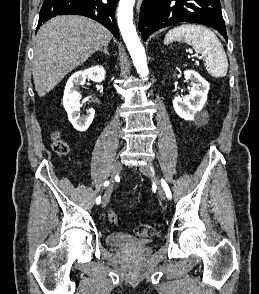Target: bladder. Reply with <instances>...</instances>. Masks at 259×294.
<instances>
[{
    "label": "bladder",
    "mask_w": 259,
    "mask_h": 294,
    "mask_svg": "<svg viewBox=\"0 0 259 294\" xmlns=\"http://www.w3.org/2000/svg\"><path fill=\"white\" fill-rule=\"evenodd\" d=\"M110 246H140L149 243L145 238H139L123 232H112L106 237Z\"/></svg>",
    "instance_id": "bladder-1"
}]
</instances>
